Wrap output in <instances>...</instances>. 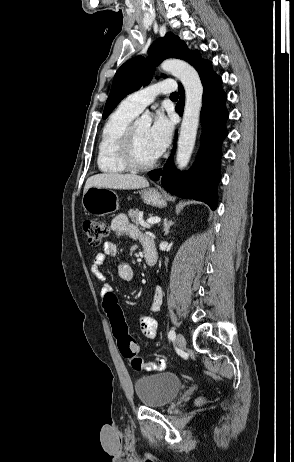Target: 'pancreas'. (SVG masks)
Listing matches in <instances>:
<instances>
[{"instance_id":"cf45deb5","label":"pancreas","mask_w":294,"mask_h":462,"mask_svg":"<svg viewBox=\"0 0 294 462\" xmlns=\"http://www.w3.org/2000/svg\"><path fill=\"white\" fill-rule=\"evenodd\" d=\"M128 215H129L131 221L134 222L136 225H140L143 228H150V225H146V222L144 221L142 211H140L138 209L130 210L128 212Z\"/></svg>"}]
</instances>
